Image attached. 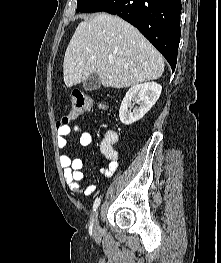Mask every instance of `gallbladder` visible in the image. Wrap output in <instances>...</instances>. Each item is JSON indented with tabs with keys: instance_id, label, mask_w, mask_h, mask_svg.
<instances>
[{
	"instance_id": "1",
	"label": "gallbladder",
	"mask_w": 221,
	"mask_h": 263,
	"mask_svg": "<svg viewBox=\"0 0 221 263\" xmlns=\"http://www.w3.org/2000/svg\"><path fill=\"white\" fill-rule=\"evenodd\" d=\"M101 82L97 73L91 74L83 83V88L86 91H93L100 88Z\"/></svg>"
}]
</instances>
